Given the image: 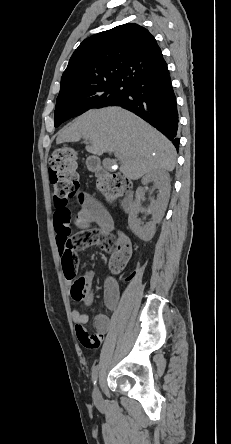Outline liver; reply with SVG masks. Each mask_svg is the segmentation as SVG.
Returning a JSON list of instances; mask_svg holds the SVG:
<instances>
[{"mask_svg":"<svg viewBox=\"0 0 231 444\" xmlns=\"http://www.w3.org/2000/svg\"><path fill=\"white\" fill-rule=\"evenodd\" d=\"M89 140L86 150L97 156L120 153L121 173L139 179L155 170L172 171L176 164L173 144L135 114L120 107L89 110L61 129L56 143Z\"/></svg>","mask_w":231,"mask_h":444,"instance_id":"liver-1","label":"liver"}]
</instances>
